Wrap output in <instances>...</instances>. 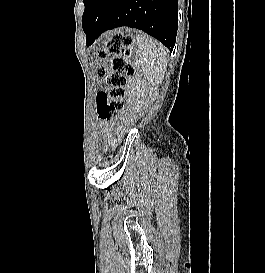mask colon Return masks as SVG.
Instances as JSON below:
<instances>
[{"label": "colon", "mask_w": 265, "mask_h": 273, "mask_svg": "<svg viewBox=\"0 0 265 273\" xmlns=\"http://www.w3.org/2000/svg\"><path fill=\"white\" fill-rule=\"evenodd\" d=\"M134 39L131 35L125 33L114 34L107 44L106 51H99L98 56L105 58L106 53L113 54L111 71L107 72L104 67L99 69V76L103 78L109 89L100 91L96 95V114L100 120H108L115 117L125 110V87L128 77L135 74V68L127 60L133 50ZM105 132V129H102ZM100 148L106 151L111 148V136H98Z\"/></svg>", "instance_id": "1"}]
</instances>
